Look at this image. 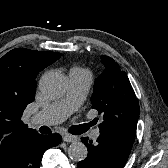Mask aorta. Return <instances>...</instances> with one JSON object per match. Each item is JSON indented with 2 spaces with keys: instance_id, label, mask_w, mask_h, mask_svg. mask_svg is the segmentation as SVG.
I'll return each instance as SVG.
<instances>
[{
  "instance_id": "1",
  "label": "aorta",
  "mask_w": 168,
  "mask_h": 168,
  "mask_svg": "<svg viewBox=\"0 0 168 168\" xmlns=\"http://www.w3.org/2000/svg\"><path fill=\"white\" fill-rule=\"evenodd\" d=\"M66 87V78L59 72H47L41 77L39 82L40 91L49 99L61 97L65 93ZM87 154L88 150L82 142L75 141L68 147V156L74 161L84 160Z\"/></svg>"
}]
</instances>
